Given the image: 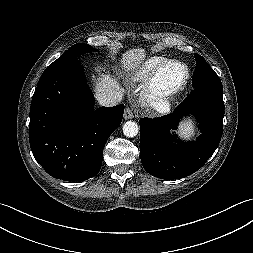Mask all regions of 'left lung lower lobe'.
I'll return each mask as SVG.
<instances>
[{"label": "left lung lower lobe", "mask_w": 253, "mask_h": 253, "mask_svg": "<svg viewBox=\"0 0 253 253\" xmlns=\"http://www.w3.org/2000/svg\"><path fill=\"white\" fill-rule=\"evenodd\" d=\"M223 89L194 88L173 113L158 118H141L140 156L144 169L160 179H179L199 170L218 147L223 132ZM194 114L201 135L184 143L175 134L179 120Z\"/></svg>", "instance_id": "1"}]
</instances>
